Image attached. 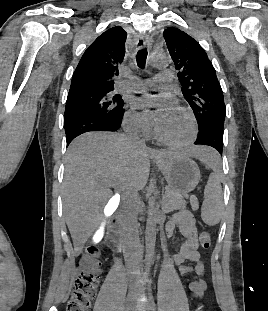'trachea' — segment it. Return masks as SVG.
Instances as JSON below:
<instances>
[{"mask_svg":"<svg viewBox=\"0 0 268 311\" xmlns=\"http://www.w3.org/2000/svg\"><path fill=\"white\" fill-rule=\"evenodd\" d=\"M146 59H147V49L144 48V49L139 50L137 52L136 61L140 69L145 68Z\"/></svg>","mask_w":268,"mask_h":311,"instance_id":"trachea-1","label":"trachea"}]
</instances>
